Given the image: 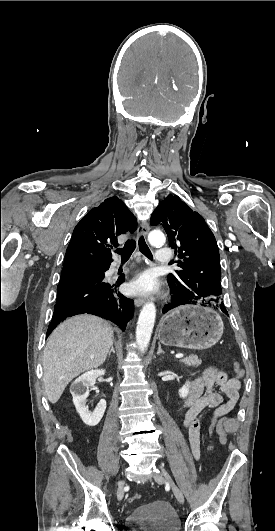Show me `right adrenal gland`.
<instances>
[{
	"label": "right adrenal gland",
	"instance_id": "2a0ac1e0",
	"mask_svg": "<svg viewBox=\"0 0 275 531\" xmlns=\"http://www.w3.org/2000/svg\"><path fill=\"white\" fill-rule=\"evenodd\" d=\"M113 345H114V343H112V345H111V349H110V351L108 353V357H110L111 353H115V349H114Z\"/></svg>",
	"mask_w": 275,
	"mask_h": 531
}]
</instances>
